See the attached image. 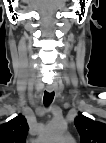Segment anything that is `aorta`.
I'll use <instances>...</instances> for the list:
<instances>
[{"label": "aorta", "instance_id": "762f6f07", "mask_svg": "<svg viewBox=\"0 0 106 143\" xmlns=\"http://www.w3.org/2000/svg\"><path fill=\"white\" fill-rule=\"evenodd\" d=\"M66 128L67 126L63 121L53 120L46 125L42 133V140L46 142L55 141L65 132Z\"/></svg>", "mask_w": 106, "mask_h": 143}]
</instances>
